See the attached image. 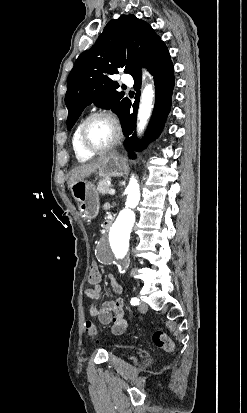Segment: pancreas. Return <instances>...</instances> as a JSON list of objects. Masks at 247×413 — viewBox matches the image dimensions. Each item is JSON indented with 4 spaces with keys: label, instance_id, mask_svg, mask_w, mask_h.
<instances>
[{
    "label": "pancreas",
    "instance_id": "cf45deb5",
    "mask_svg": "<svg viewBox=\"0 0 247 413\" xmlns=\"http://www.w3.org/2000/svg\"><path fill=\"white\" fill-rule=\"evenodd\" d=\"M108 178H103V180H99L97 190L101 192V194H108V190H110L112 184H108Z\"/></svg>",
    "mask_w": 247,
    "mask_h": 413
}]
</instances>
